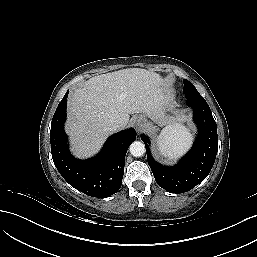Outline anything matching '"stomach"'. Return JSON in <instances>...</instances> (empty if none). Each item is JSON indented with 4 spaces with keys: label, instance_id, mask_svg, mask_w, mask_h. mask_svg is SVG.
<instances>
[{
    "label": "stomach",
    "instance_id": "obj_1",
    "mask_svg": "<svg viewBox=\"0 0 257 257\" xmlns=\"http://www.w3.org/2000/svg\"><path fill=\"white\" fill-rule=\"evenodd\" d=\"M152 119H154V118H152ZM147 127H149V124L147 123V125H146Z\"/></svg>",
    "mask_w": 257,
    "mask_h": 257
}]
</instances>
